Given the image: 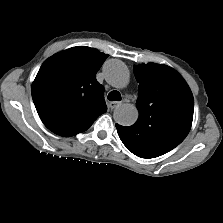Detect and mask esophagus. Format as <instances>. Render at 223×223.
Segmentation results:
<instances>
[{
    "instance_id": "obj_1",
    "label": "esophagus",
    "mask_w": 223,
    "mask_h": 223,
    "mask_svg": "<svg viewBox=\"0 0 223 223\" xmlns=\"http://www.w3.org/2000/svg\"><path fill=\"white\" fill-rule=\"evenodd\" d=\"M121 103L120 102H117V101H114V102H110L109 104V107L111 109H115L117 106H119Z\"/></svg>"
}]
</instances>
